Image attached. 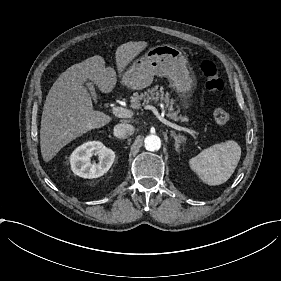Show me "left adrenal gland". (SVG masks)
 <instances>
[{
  "instance_id": "a2214340",
  "label": "left adrenal gland",
  "mask_w": 281,
  "mask_h": 281,
  "mask_svg": "<svg viewBox=\"0 0 281 281\" xmlns=\"http://www.w3.org/2000/svg\"><path fill=\"white\" fill-rule=\"evenodd\" d=\"M171 136L174 138L175 140V150L177 152H179V148H180V143H181V139L182 136L181 135H177L174 131H170Z\"/></svg>"
}]
</instances>
